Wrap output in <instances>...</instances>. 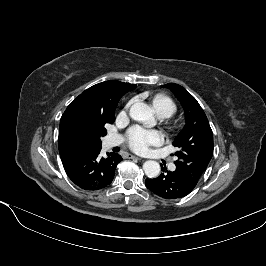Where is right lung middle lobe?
Returning <instances> with one entry per match:
<instances>
[{"instance_id": "obj_1", "label": "right lung middle lobe", "mask_w": 266, "mask_h": 266, "mask_svg": "<svg viewBox=\"0 0 266 266\" xmlns=\"http://www.w3.org/2000/svg\"><path fill=\"white\" fill-rule=\"evenodd\" d=\"M114 120V115L111 117H90L84 120L82 130L92 140L95 147H101L100 138L107 134L105 125L107 123L112 124Z\"/></svg>"}]
</instances>
